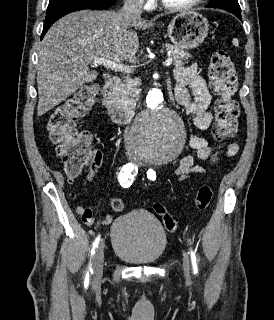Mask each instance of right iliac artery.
Instances as JSON below:
<instances>
[{"label":"right iliac artery","instance_id":"1","mask_svg":"<svg viewBox=\"0 0 274 320\" xmlns=\"http://www.w3.org/2000/svg\"><path fill=\"white\" fill-rule=\"evenodd\" d=\"M137 172H138L137 166H134L133 164H126L125 166H123L119 173V182L122 185V187L128 188L132 184ZM99 242H100V235L97 236V238L93 243L91 256L95 254V249L98 246ZM91 271H92V268L90 264L89 270L86 274V279H85L87 282H89V272Z\"/></svg>","mask_w":274,"mask_h":320}]
</instances>
